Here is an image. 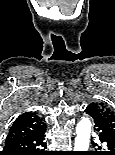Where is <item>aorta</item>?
I'll return each mask as SVG.
<instances>
[{
	"label": "aorta",
	"mask_w": 115,
	"mask_h": 155,
	"mask_svg": "<svg viewBox=\"0 0 115 155\" xmlns=\"http://www.w3.org/2000/svg\"><path fill=\"white\" fill-rule=\"evenodd\" d=\"M91 121L83 117L76 126L74 151H87L90 143Z\"/></svg>",
	"instance_id": "obj_1"
}]
</instances>
